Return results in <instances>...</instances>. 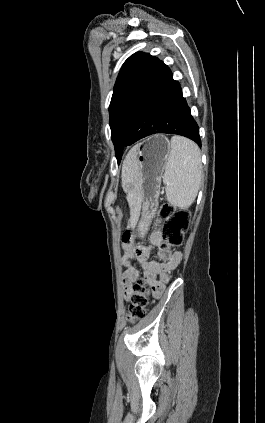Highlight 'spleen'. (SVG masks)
<instances>
[{"label":"spleen","instance_id":"obj_1","mask_svg":"<svg viewBox=\"0 0 265 423\" xmlns=\"http://www.w3.org/2000/svg\"><path fill=\"white\" fill-rule=\"evenodd\" d=\"M201 173L199 147L189 139L173 136L163 175L167 201L174 207L188 208L197 196Z\"/></svg>","mask_w":265,"mask_h":423}]
</instances>
